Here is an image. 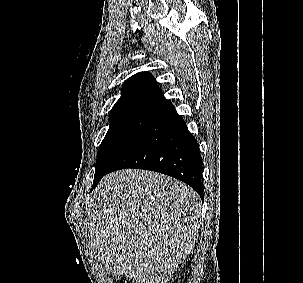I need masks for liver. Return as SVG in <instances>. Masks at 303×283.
Here are the masks:
<instances>
[{
    "mask_svg": "<svg viewBox=\"0 0 303 283\" xmlns=\"http://www.w3.org/2000/svg\"><path fill=\"white\" fill-rule=\"evenodd\" d=\"M201 204L192 188L164 174L106 175L86 208L91 252L107 274L167 283L198 239Z\"/></svg>",
    "mask_w": 303,
    "mask_h": 283,
    "instance_id": "6515ba94",
    "label": "liver"
}]
</instances>
